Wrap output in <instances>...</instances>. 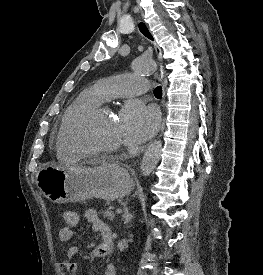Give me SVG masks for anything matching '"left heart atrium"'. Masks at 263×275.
I'll list each match as a JSON object with an SVG mask.
<instances>
[{
    "mask_svg": "<svg viewBox=\"0 0 263 275\" xmlns=\"http://www.w3.org/2000/svg\"><path fill=\"white\" fill-rule=\"evenodd\" d=\"M118 122L126 143L138 145L155 132L158 125V113L153 107L134 100L120 112Z\"/></svg>",
    "mask_w": 263,
    "mask_h": 275,
    "instance_id": "39dd6f15",
    "label": "left heart atrium"
}]
</instances>
